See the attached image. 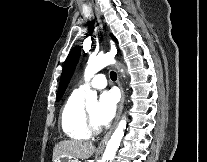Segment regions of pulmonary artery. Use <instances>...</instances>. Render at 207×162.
I'll return each mask as SVG.
<instances>
[{
  "label": "pulmonary artery",
  "mask_w": 207,
  "mask_h": 162,
  "mask_svg": "<svg viewBox=\"0 0 207 162\" xmlns=\"http://www.w3.org/2000/svg\"><path fill=\"white\" fill-rule=\"evenodd\" d=\"M106 85H107V81H106L105 75L102 73H99V74H96L88 84L80 85L77 90L84 92L89 87L95 88V89H103L106 87Z\"/></svg>",
  "instance_id": "obj_1"
}]
</instances>
